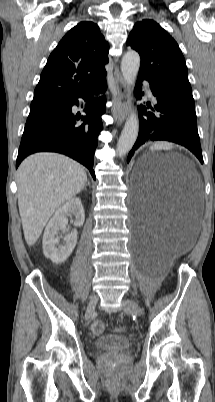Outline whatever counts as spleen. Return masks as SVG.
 Listing matches in <instances>:
<instances>
[{
	"label": "spleen",
	"instance_id": "1",
	"mask_svg": "<svg viewBox=\"0 0 215 402\" xmlns=\"http://www.w3.org/2000/svg\"><path fill=\"white\" fill-rule=\"evenodd\" d=\"M166 147H167L166 144L161 143V144H156V145L152 146V149H164Z\"/></svg>",
	"mask_w": 215,
	"mask_h": 402
}]
</instances>
